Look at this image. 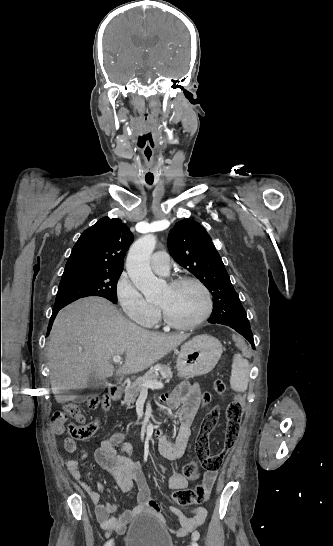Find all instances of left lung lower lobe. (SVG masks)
Returning <instances> with one entry per match:
<instances>
[{"instance_id":"left-lung-lower-lobe-1","label":"left lung lower lobe","mask_w":333,"mask_h":546,"mask_svg":"<svg viewBox=\"0 0 333 546\" xmlns=\"http://www.w3.org/2000/svg\"><path fill=\"white\" fill-rule=\"evenodd\" d=\"M208 322L209 323H218V322H215L214 320H212L210 318H209ZM218 324L227 325V326L235 329L239 334L244 336L252 344V348L255 349L254 339H253L252 331H251L249 320L247 319V316L237 319L232 324H227V323H218Z\"/></svg>"}]
</instances>
